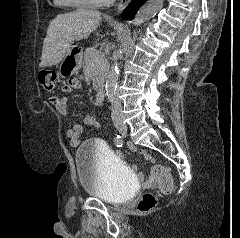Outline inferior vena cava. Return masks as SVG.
<instances>
[{
  "mask_svg": "<svg viewBox=\"0 0 240 238\" xmlns=\"http://www.w3.org/2000/svg\"><path fill=\"white\" fill-rule=\"evenodd\" d=\"M122 105L121 101L114 97L111 101V117L114 122L122 120Z\"/></svg>",
  "mask_w": 240,
  "mask_h": 238,
  "instance_id": "1",
  "label": "inferior vena cava"
}]
</instances>
